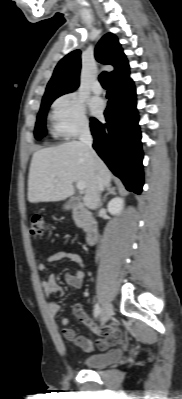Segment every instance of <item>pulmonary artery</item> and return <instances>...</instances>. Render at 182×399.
I'll use <instances>...</instances> for the list:
<instances>
[{"label":"pulmonary artery","mask_w":182,"mask_h":399,"mask_svg":"<svg viewBox=\"0 0 182 399\" xmlns=\"http://www.w3.org/2000/svg\"><path fill=\"white\" fill-rule=\"evenodd\" d=\"M92 91H93L94 94H97V95H99V94L102 93L103 89H102L101 84H100L98 81H95V82L93 83V85H92Z\"/></svg>","instance_id":"obj_1"}]
</instances>
